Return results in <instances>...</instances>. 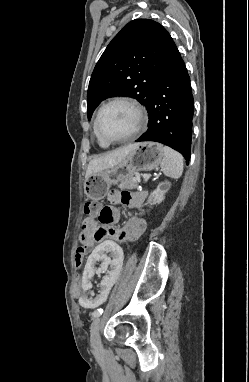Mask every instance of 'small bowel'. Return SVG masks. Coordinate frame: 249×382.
Returning <instances> with one entry per match:
<instances>
[{"instance_id": "c3829d8e", "label": "small bowel", "mask_w": 249, "mask_h": 382, "mask_svg": "<svg viewBox=\"0 0 249 382\" xmlns=\"http://www.w3.org/2000/svg\"><path fill=\"white\" fill-rule=\"evenodd\" d=\"M145 199L146 194L142 193H130L126 191L110 192L108 195L110 206L103 209L101 216H89L84 218L82 231L79 234V241L81 243L79 249L86 252L92 248L95 243L100 242V240L118 239L120 241H134L138 239L145 232L147 227L146 219L140 215H131L126 224L120 229L110 227L109 225L116 223L119 219V211L115 206L122 205L131 208H140L144 205ZM109 213L111 216H108Z\"/></svg>"}]
</instances>
